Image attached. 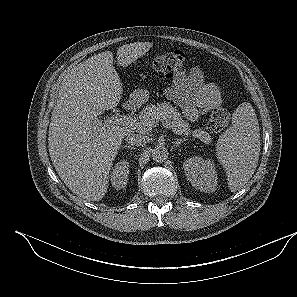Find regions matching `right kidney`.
I'll return each mask as SVG.
<instances>
[{
	"label": "right kidney",
	"instance_id": "right-kidney-1",
	"mask_svg": "<svg viewBox=\"0 0 297 297\" xmlns=\"http://www.w3.org/2000/svg\"><path fill=\"white\" fill-rule=\"evenodd\" d=\"M128 174L129 162L127 160H121L116 163L110 178L112 186L117 190L125 188L129 180Z\"/></svg>",
	"mask_w": 297,
	"mask_h": 297
}]
</instances>
